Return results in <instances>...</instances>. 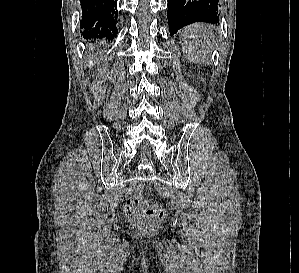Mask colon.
<instances>
[{
    "label": "colon",
    "mask_w": 299,
    "mask_h": 273,
    "mask_svg": "<svg viewBox=\"0 0 299 273\" xmlns=\"http://www.w3.org/2000/svg\"><path fill=\"white\" fill-rule=\"evenodd\" d=\"M126 219L134 223L142 231H152L155 226L144 218L152 221H162L165 218V210L159 205H150L140 196H132L128 199L123 210Z\"/></svg>",
    "instance_id": "1"
}]
</instances>
